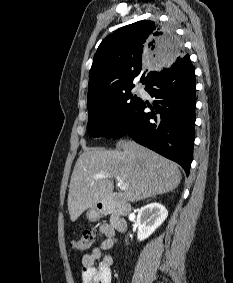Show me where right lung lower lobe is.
Listing matches in <instances>:
<instances>
[{
  "instance_id": "obj_1",
  "label": "right lung lower lobe",
  "mask_w": 233,
  "mask_h": 283,
  "mask_svg": "<svg viewBox=\"0 0 233 283\" xmlns=\"http://www.w3.org/2000/svg\"><path fill=\"white\" fill-rule=\"evenodd\" d=\"M156 100L153 106L142 99L113 134H126L136 142L179 163L189 174L194 144L196 82L189 55L162 71L146 84ZM149 107L152 111L145 113Z\"/></svg>"
}]
</instances>
